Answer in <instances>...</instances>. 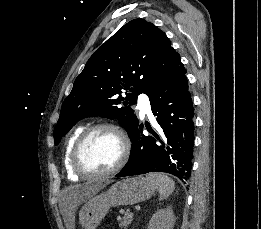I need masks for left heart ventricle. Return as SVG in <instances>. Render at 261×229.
Here are the masks:
<instances>
[{
  "instance_id": "left-heart-ventricle-1",
  "label": "left heart ventricle",
  "mask_w": 261,
  "mask_h": 229,
  "mask_svg": "<svg viewBox=\"0 0 261 229\" xmlns=\"http://www.w3.org/2000/svg\"><path fill=\"white\" fill-rule=\"evenodd\" d=\"M121 155V144L118 136L102 130L92 135L81 152L83 164L89 169L104 171L113 167Z\"/></svg>"
}]
</instances>
